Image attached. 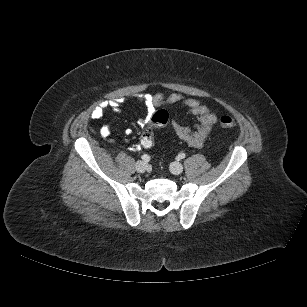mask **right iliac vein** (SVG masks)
I'll return each mask as SVG.
<instances>
[{
    "instance_id": "obj_1",
    "label": "right iliac vein",
    "mask_w": 307,
    "mask_h": 307,
    "mask_svg": "<svg viewBox=\"0 0 307 307\" xmlns=\"http://www.w3.org/2000/svg\"><path fill=\"white\" fill-rule=\"evenodd\" d=\"M135 169L139 173H143L148 170V165L143 161H138L135 165Z\"/></svg>"
}]
</instances>
